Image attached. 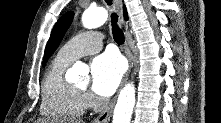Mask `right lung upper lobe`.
Here are the masks:
<instances>
[{"label":"right lung upper lobe","instance_id":"cb5924a9","mask_svg":"<svg viewBox=\"0 0 221 123\" xmlns=\"http://www.w3.org/2000/svg\"><path fill=\"white\" fill-rule=\"evenodd\" d=\"M124 17L127 20L128 16H127V12H126V8L124 7Z\"/></svg>","mask_w":221,"mask_h":123}]
</instances>
